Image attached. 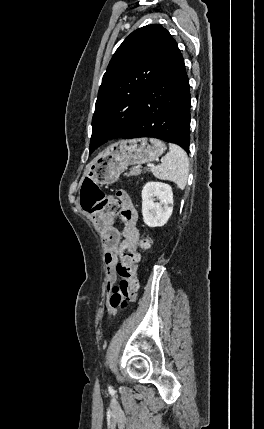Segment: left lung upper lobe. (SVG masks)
Here are the masks:
<instances>
[{
    "label": "left lung upper lobe",
    "mask_w": 264,
    "mask_h": 429,
    "mask_svg": "<svg viewBox=\"0 0 264 429\" xmlns=\"http://www.w3.org/2000/svg\"><path fill=\"white\" fill-rule=\"evenodd\" d=\"M171 40L165 28L152 24L132 32L116 50L99 88L90 152L113 137L124 138L133 128Z\"/></svg>",
    "instance_id": "5c2ea615"
}]
</instances>
